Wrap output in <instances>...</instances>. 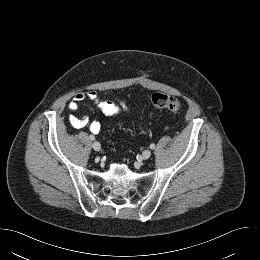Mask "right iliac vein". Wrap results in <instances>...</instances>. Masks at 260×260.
Returning a JSON list of instances; mask_svg holds the SVG:
<instances>
[{
  "mask_svg": "<svg viewBox=\"0 0 260 260\" xmlns=\"http://www.w3.org/2000/svg\"><path fill=\"white\" fill-rule=\"evenodd\" d=\"M92 147L95 151H100V149H101V145L98 141H94L92 144Z\"/></svg>",
  "mask_w": 260,
  "mask_h": 260,
  "instance_id": "1",
  "label": "right iliac vein"
}]
</instances>
